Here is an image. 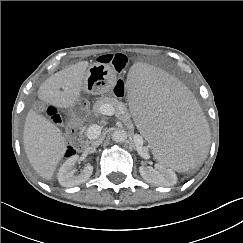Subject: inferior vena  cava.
<instances>
[{"label":"inferior vena cava","instance_id":"inferior-vena-cava-1","mask_svg":"<svg viewBox=\"0 0 243 243\" xmlns=\"http://www.w3.org/2000/svg\"><path fill=\"white\" fill-rule=\"evenodd\" d=\"M98 129H100V128L98 127ZM98 136H99V134L96 137L91 138V139H96L95 141L92 142V147H97L101 144L102 139L98 138Z\"/></svg>","mask_w":243,"mask_h":243}]
</instances>
